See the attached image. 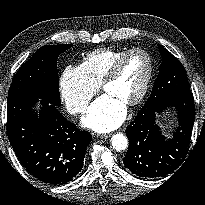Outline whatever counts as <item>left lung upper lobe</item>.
I'll return each mask as SVG.
<instances>
[{
  "label": "left lung upper lobe",
  "mask_w": 205,
  "mask_h": 205,
  "mask_svg": "<svg viewBox=\"0 0 205 205\" xmlns=\"http://www.w3.org/2000/svg\"><path fill=\"white\" fill-rule=\"evenodd\" d=\"M162 64L152 92L144 106H155L172 93L190 91L185 69L169 51L158 45Z\"/></svg>",
  "instance_id": "obj_1"
}]
</instances>
